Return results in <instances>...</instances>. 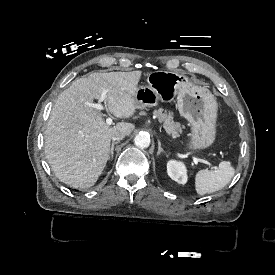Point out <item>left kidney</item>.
Segmentation results:
<instances>
[{
    "label": "left kidney",
    "mask_w": 275,
    "mask_h": 275,
    "mask_svg": "<svg viewBox=\"0 0 275 275\" xmlns=\"http://www.w3.org/2000/svg\"><path fill=\"white\" fill-rule=\"evenodd\" d=\"M168 175L175 181L184 184L186 182L185 168L181 163L170 161L167 165Z\"/></svg>",
    "instance_id": "obj_1"
}]
</instances>
